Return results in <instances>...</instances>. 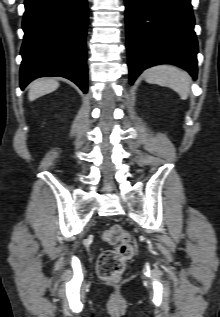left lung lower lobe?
<instances>
[{
    "instance_id": "1",
    "label": "left lung lower lobe",
    "mask_w": 220,
    "mask_h": 317,
    "mask_svg": "<svg viewBox=\"0 0 220 317\" xmlns=\"http://www.w3.org/2000/svg\"><path fill=\"white\" fill-rule=\"evenodd\" d=\"M129 77L146 68L178 65L197 77L198 45L191 0H125Z\"/></svg>"
}]
</instances>
